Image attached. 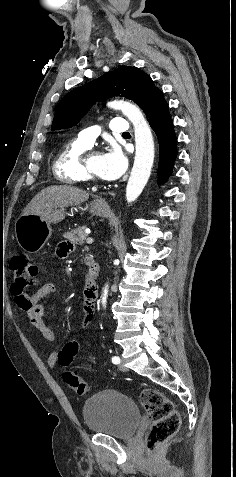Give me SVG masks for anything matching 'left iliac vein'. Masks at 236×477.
I'll return each instance as SVG.
<instances>
[{"mask_svg": "<svg viewBox=\"0 0 236 477\" xmlns=\"http://www.w3.org/2000/svg\"><path fill=\"white\" fill-rule=\"evenodd\" d=\"M118 367H119V370L122 371V372H126V371H127V368L125 367V365H124L123 362H121V363L118 365Z\"/></svg>", "mask_w": 236, "mask_h": 477, "instance_id": "obj_1", "label": "left iliac vein"}]
</instances>
